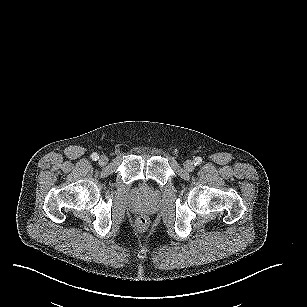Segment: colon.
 Wrapping results in <instances>:
<instances>
[{
  "label": "colon",
  "mask_w": 307,
  "mask_h": 307,
  "mask_svg": "<svg viewBox=\"0 0 307 307\" xmlns=\"http://www.w3.org/2000/svg\"><path fill=\"white\" fill-rule=\"evenodd\" d=\"M148 223H149V220L146 216H140L138 219H137V226L139 229L141 230H144L147 228L148 226Z\"/></svg>",
  "instance_id": "colon-1"
}]
</instances>
